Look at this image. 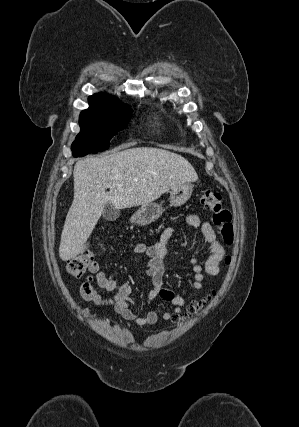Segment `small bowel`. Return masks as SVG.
Listing matches in <instances>:
<instances>
[{
    "label": "small bowel",
    "instance_id": "obj_1",
    "mask_svg": "<svg viewBox=\"0 0 299 427\" xmlns=\"http://www.w3.org/2000/svg\"><path fill=\"white\" fill-rule=\"evenodd\" d=\"M188 225L199 227L203 236L210 244L211 254L200 263L197 258H191L190 263L194 272V280L191 290L185 295H177L171 289L163 286L164 261L168 254L169 242L174 233V227L165 228L153 244L138 243L134 247V253L145 256V273L151 278L153 289L148 295L151 301L157 296L167 301L171 309L161 313L149 311L142 315L132 308V287L128 283H119L108 278L100 271V264L94 261L90 266L91 275L87 276L80 286V294L86 301L99 306H108L121 315L125 320L136 324L153 325L158 320L169 321L175 319L188 300H195L202 288L205 275L215 277L220 272V264L225 257V249L217 240L212 226L203 222L199 216L191 214L186 217ZM96 283L100 288L113 291V296H103L94 288Z\"/></svg>",
    "mask_w": 299,
    "mask_h": 427
}]
</instances>
